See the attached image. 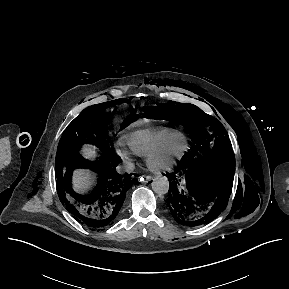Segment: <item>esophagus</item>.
I'll return each instance as SVG.
<instances>
[{"label":"esophagus","mask_w":289,"mask_h":289,"mask_svg":"<svg viewBox=\"0 0 289 289\" xmlns=\"http://www.w3.org/2000/svg\"><path fill=\"white\" fill-rule=\"evenodd\" d=\"M140 180H141L142 182H144V183H148V182H150V181L153 180V177H152V176H149V175H144V176H142V177L140 178Z\"/></svg>","instance_id":"esophagus-1"}]
</instances>
